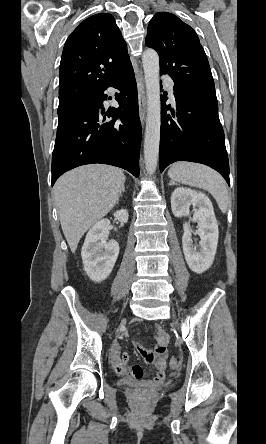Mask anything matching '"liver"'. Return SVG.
Masks as SVG:
<instances>
[{
    "label": "liver",
    "mask_w": 266,
    "mask_h": 444,
    "mask_svg": "<svg viewBox=\"0 0 266 444\" xmlns=\"http://www.w3.org/2000/svg\"><path fill=\"white\" fill-rule=\"evenodd\" d=\"M125 180L121 169L103 164L75 168L57 180L54 197L73 253L84 233L113 209Z\"/></svg>",
    "instance_id": "obj_1"
}]
</instances>
